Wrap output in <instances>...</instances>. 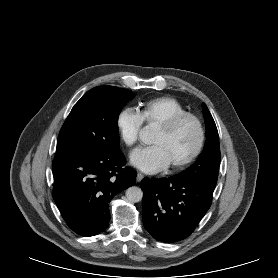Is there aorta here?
<instances>
[{"instance_id":"obj_1","label":"aorta","mask_w":278,"mask_h":278,"mask_svg":"<svg viewBox=\"0 0 278 278\" xmlns=\"http://www.w3.org/2000/svg\"><path fill=\"white\" fill-rule=\"evenodd\" d=\"M151 135H152V126L151 125L145 126L140 131V139L145 143H148L150 141ZM126 198L131 203L140 202L143 198V192H142L141 188H139V187H136V186L129 187L126 190Z\"/></svg>"}]
</instances>
